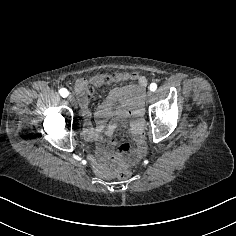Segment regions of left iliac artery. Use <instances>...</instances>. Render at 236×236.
<instances>
[{
    "mask_svg": "<svg viewBox=\"0 0 236 236\" xmlns=\"http://www.w3.org/2000/svg\"><path fill=\"white\" fill-rule=\"evenodd\" d=\"M156 89H157V85L155 83H151L150 90L154 92Z\"/></svg>",
    "mask_w": 236,
    "mask_h": 236,
    "instance_id": "obj_1",
    "label": "left iliac artery"
}]
</instances>
